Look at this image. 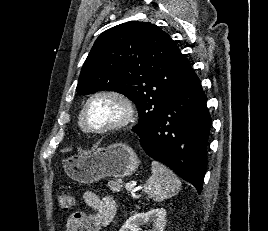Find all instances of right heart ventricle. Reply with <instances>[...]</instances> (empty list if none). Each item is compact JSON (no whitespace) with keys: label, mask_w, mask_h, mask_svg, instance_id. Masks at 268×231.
Instances as JSON below:
<instances>
[{"label":"right heart ventricle","mask_w":268,"mask_h":231,"mask_svg":"<svg viewBox=\"0 0 268 231\" xmlns=\"http://www.w3.org/2000/svg\"><path fill=\"white\" fill-rule=\"evenodd\" d=\"M79 126L83 129V131H85V128H84L82 121H81V117L79 118Z\"/></svg>","instance_id":"right-heart-ventricle-1"}]
</instances>
